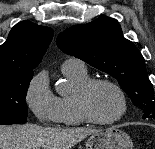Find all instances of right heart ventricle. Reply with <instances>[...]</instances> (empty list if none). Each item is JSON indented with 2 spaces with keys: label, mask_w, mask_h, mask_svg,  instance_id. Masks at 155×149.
I'll return each mask as SVG.
<instances>
[{
  "label": "right heart ventricle",
  "mask_w": 155,
  "mask_h": 149,
  "mask_svg": "<svg viewBox=\"0 0 155 149\" xmlns=\"http://www.w3.org/2000/svg\"><path fill=\"white\" fill-rule=\"evenodd\" d=\"M63 73L73 84L74 89L71 94L58 97L57 122L67 127L78 126L83 124L85 120L82 118L77 109L75 93L82 84L90 80V77L86 70L63 71Z\"/></svg>",
  "instance_id": "1"
}]
</instances>
